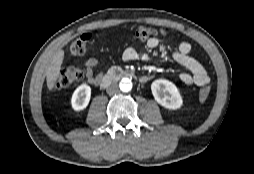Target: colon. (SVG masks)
I'll return each instance as SVG.
<instances>
[{
    "label": "colon",
    "instance_id": "5ec220e1",
    "mask_svg": "<svg viewBox=\"0 0 254 174\" xmlns=\"http://www.w3.org/2000/svg\"><path fill=\"white\" fill-rule=\"evenodd\" d=\"M165 34L164 30L161 29H155L152 27L148 26H141L138 27L134 31V37L138 41H145L152 36L155 35H163ZM91 39L90 34H84L77 38L75 41H73L70 45V53L73 56H80L82 55L85 51L86 48L89 44V41ZM83 78V71L80 68L77 67H67V68H62L59 70L56 81L54 84V90H62L78 81H80ZM211 93V87L209 85H206L202 87L199 91V99L201 101H205Z\"/></svg>",
    "mask_w": 254,
    "mask_h": 174
}]
</instances>
